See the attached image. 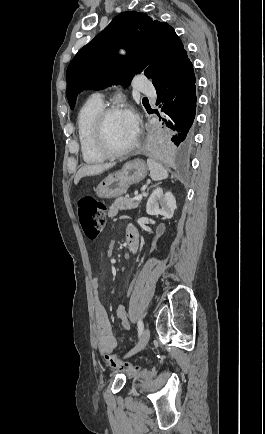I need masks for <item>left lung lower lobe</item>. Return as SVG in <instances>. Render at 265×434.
<instances>
[{
    "label": "left lung lower lobe",
    "instance_id": "1",
    "mask_svg": "<svg viewBox=\"0 0 265 434\" xmlns=\"http://www.w3.org/2000/svg\"><path fill=\"white\" fill-rule=\"evenodd\" d=\"M196 80L188 55L182 56L166 81L156 88L167 135L153 140L151 148L164 155H181L192 147L196 114ZM160 117V116H159Z\"/></svg>",
    "mask_w": 265,
    "mask_h": 434
}]
</instances>
